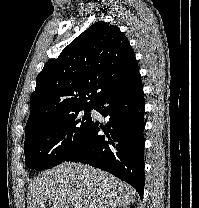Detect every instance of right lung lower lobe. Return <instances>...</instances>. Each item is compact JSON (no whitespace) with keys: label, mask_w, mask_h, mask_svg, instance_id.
Segmentation results:
<instances>
[{"label":"right lung lower lobe","mask_w":199,"mask_h":208,"mask_svg":"<svg viewBox=\"0 0 199 208\" xmlns=\"http://www.w3.org/2000/svg\"><path fill=\"white\" fill-rule=\"evenodd\" d=\"M92 108L109 122L104 127L92 121L78 147L65 161L103 169L132 185L142 198L145 123L141 75L107 92ZM100 130L105 135H98Z\"/></svg>","instance_id":"1"}]
</instances>
